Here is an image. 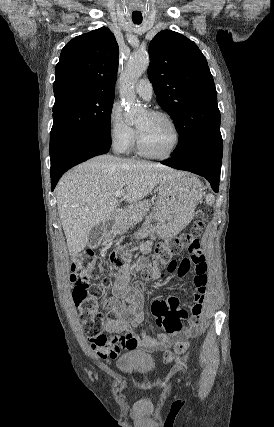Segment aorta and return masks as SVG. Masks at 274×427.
<instances>
[{"label":"aorta","mask_w":274,"mask_h":427,"mask_svg":"<svg viewBox=\"0 0 274 427\" xmlns=\"http://www.w3.org/2000/svg\"><path fill=\"white\" fill-rule=\"evenodd\" d=\"M149 62L148 53L135 52L130 56L121 74L120 97L127 109L125 118L129 123L135 122L144 113V109L135 103L134 85L147 70Z\"/></svg>","instance_id":"762f6f07"}]
</instances>
